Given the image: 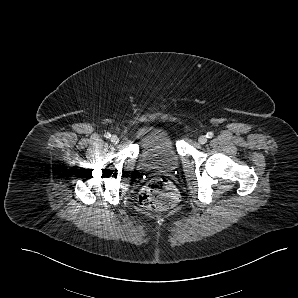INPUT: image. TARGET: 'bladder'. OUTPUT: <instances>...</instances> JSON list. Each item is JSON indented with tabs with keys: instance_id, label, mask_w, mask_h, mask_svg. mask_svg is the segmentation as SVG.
<instances>
[{
	"instance_id": "1",
	"label": "bladder",
	"mask_w": 298,
	"mask_h": 298,
	"mask_svg": "<svg viewBox=\"0 0 298 298\" xmlns=\"http://www.w3.org/2000/svg\"><path fill=\"white\" fill-rule=\"evenodd\" d=\"M138 164L147 170L172 173L180 163L179 154L165 130L153 125L137 129Z\"/></svg>"
}]
</instances>
